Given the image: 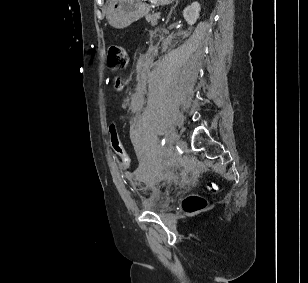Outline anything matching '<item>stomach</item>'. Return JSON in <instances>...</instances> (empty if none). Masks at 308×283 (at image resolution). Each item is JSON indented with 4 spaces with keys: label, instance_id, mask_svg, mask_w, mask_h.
Masks as SVG:
<instances>
[{
    "label": "stomach",
    "instance_id": "0dacf381",
    "mask_svg": "<svg viewBox=\"0 0 308 283\" xmlns=\"http://www.w3.org/2000/svg\"><path fill=\"white\" fill-rule=\"evenodd\" d=\"M149 1L155 5H167L173 0ZM150 7L144 0H110L106 11V18L112 27L123 29L146 16L150 11Z\"/></svg>",
    "mask_w": 308,
    "mask_h": 283
}]
</instances>
